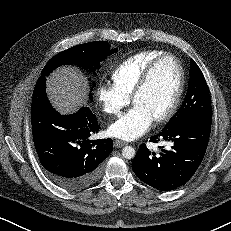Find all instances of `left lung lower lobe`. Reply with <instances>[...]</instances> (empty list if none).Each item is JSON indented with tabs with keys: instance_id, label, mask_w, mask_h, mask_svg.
Segmentation results:
<instances>
[{
	"instance_id": "obj_1",
	"label": "left lung lower lobe",
	"mask_w": 231,
	"mask_h": 231,
	"mask_svg": "<svg viewBox=\"0 0 231 231\" xmlns=\"http://www.w3.org/2000/svg\"><path fill=\"white\" fill-rule=\"evenodd\" d=\"M211 122L187 120L171 128H163L150 138L151 142L161 141L166 145L159 147V152H151L145 144L140 145L132 162L136 176L161 191H171L184 185L204 158Z\"/></svg>"
}]
</instances>
